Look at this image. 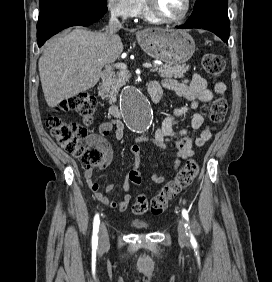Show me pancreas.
<instances>
[{
    "label": "pancreas",
    "instance_id": "obj_1",
    "mask_svg": "<svg viewBox=\"0 0 272 282\" xmlns=\"http://www.w3.org/2000/svg\"><path fill=\"white\" fill-rule=\"evenodd\" d=\"M189 70V66L185 65H156L152 72H157L161 77L166 78H182L184 73ZM130 74L127 70H121L110 81L108 96L110 101H115L119 89L129 80Z\"/></svg>",
    "mask_w": 272,
    "mask_h": 282
}]
</instances>
